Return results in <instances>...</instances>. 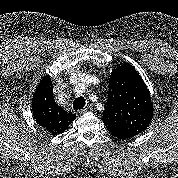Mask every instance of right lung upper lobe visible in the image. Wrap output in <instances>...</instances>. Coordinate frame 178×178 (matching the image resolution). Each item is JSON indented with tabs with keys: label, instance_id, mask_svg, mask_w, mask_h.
Instances as JSON below:
<instances>
[{
	"label": "right lung upper lobe",
	"instance_id": "1",
	"mask_svg": "<svg viewBox=\"0 0 178 178\" xmlns=\"http://www.w3.org/2000/svg\"><path fill=\"white\" fill-rule=\"evenodd\" d=\"M32 112L35 121L52 135L64 132L76 118V115L65 112L56 104L48 75L42 78L33 95Z\"/></svg>",
	"mask_w": 178,
	"mask_h": 178
}]
</instances>
